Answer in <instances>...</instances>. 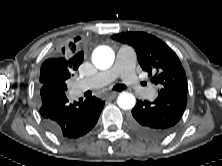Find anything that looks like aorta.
<instances>
[{
	"instance_id": "obj_1",
	"label": "aorta",
	"mask_w": 222,
	"mask_h": 166,
	"mask_svg": "<svg viewBox=\"0 0 222 166\" xmlns=\"http://www.w3.org/2000/svg\"><path fill=\"white\" fill-rule=\"evenodd\" d=\"M115 55L113 50L108 46L96 48L92 55L93 64L99 69H108L114 63ZM117 103L121 109H132L136 104L134 95L127 92L119 94Z\"/></svg>"
}]
</instances>
